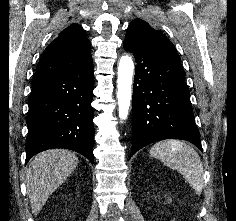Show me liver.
<instances>
[{
	"instance_id": "1",
	"label": "liver",
	"mask_w": 236,
	"mask_h": 221,
	"mask_svg": "<svg viewBox=\"0 0 236 221\" xmlns=\"http://www.w3.org/2000/svg\"><path fill=\"white\" fill-rule=\"evenodd\" d=\"M78 162L76 154L65 149H50L37 154L31 160L25 183L35 216L49 196L75 170Z\"/></svg>"
}]
</instances>
